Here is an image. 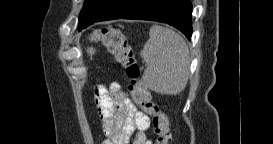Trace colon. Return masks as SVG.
Segmentation results:
<instances>
[{
  "mask_svg": "<svg viewBox=\"0 0 273 144\" xmlns=\"http://www.w3.org/2000/svg\"><path fill=\"white\" fill-rule=\"evenodd\" d=\"M101 38L110 54L125 68L133 101L151 117L156 144H168L171 140L169 121L160 106L152 99L151 92L140 80L141 68L136 61L132 46L125 34L116 27L101 29L96 35Z\"/></svg>",
  "mask_w": 273,
  "mask_h": 144,
  "instance_id": "1",
  "label": "colon"
}]
</instances>
